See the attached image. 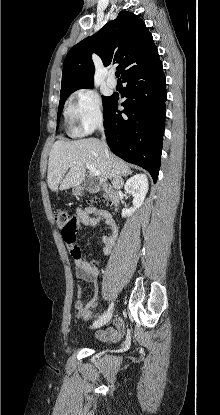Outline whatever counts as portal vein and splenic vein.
Instances as JSON below:
<instances>
[{
    "label": "portal vein and splenic vein",
    "mask_w": 220,
    "mask_h": 415,
    "mask_svg": "<svg viewBox=\"0 0 220 415\" xmlns=\"http://www.w3.org/2000/svg\"><path fill=\"white\" fill-rule=\"evenodd\" d=\"M86 167L92 172L95 176H100V171L97 170L94 166L86 164Z\"/></svg>",
    "instance_id": "obj_1"
}]
</instances>
